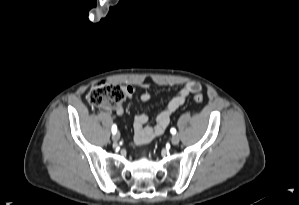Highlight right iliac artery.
<instances>
[{
	"instance_id": "82829eb1",
	"label": "right iliac artery",
	"mask_w": 299,
	"mask_h": 205,
	"mask_svg": "<svg viewBox=\"0 0 299 205\" xmlns=\"http://www.w3.org/2000/svg\"><path fill=\"white\" fill-rule=\"evenodd\" d=\"M116 131H117V127H116V125H113V126H112V133L115 134Z\"/></svg>"
}]
</instances>
